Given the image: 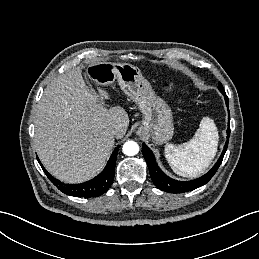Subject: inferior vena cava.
I'll return each mask as SVG.
<instances>
[{"mask_svg":"<svg viewBox=\"0 0 259 259\" xmlns=\"http://www.w3.org/2000/svg\"><path fill=\"white\" fill-rule=\"evenodd\" d=\"M111 134L117 135L120 132V128L118 126H113L110 130Z\"/></svg>","mask_w":259,"mask_h":259,"instance_id":"1","label":"inferior vena cava"}]
</instances>
